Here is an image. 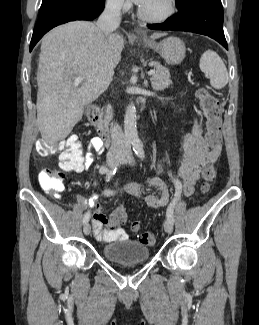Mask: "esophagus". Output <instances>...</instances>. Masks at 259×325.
Instances as JSON below:
<instances>
[{
	"label": "esophagus",
	"mask_w": 259,
	"mask_h": 325,
	"mask_svg": "<svg viewBox=\"0 0 259 325\" xmlns=\"http://www.w3.org/2000/svg\"><path fill=\"white\" fill-rule=\"evenodd\" d=\"M138 32L141 34V35H143V36H145L146 34H145V32L144 31H142V30H138Z\"/></svg>",
	"instance_id": "34e87169"
}]
</instances>
